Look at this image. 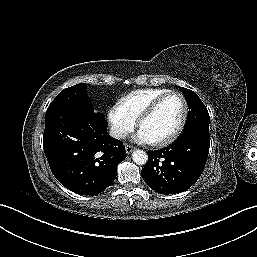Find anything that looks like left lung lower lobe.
<instances>
[{"instance_id":"left-lung-lower-lobe-1","label":"left lung lower lobe","mask_w":257,"mask_h":257,"mask_svg":"<svg viewBox=\"0 0 257 257\" xmlns=\"http://www.w3.org/2000/svg\"><path fill=\"white\" fill-rule=\"evenodd\" d=\"M209 147V134L193 132L163 149L149 151L148 162L142 169L145 183L162 194L189 189L203 172Z\"/></svg>"}]
</instances>
